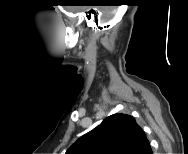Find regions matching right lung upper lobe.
I'll list each match as a JSON object with an SVG mask.
<instances>
[{
	"label": "right lung upper lobe",
	"instance_id": "right-lung-upper-lobe-1",
	"mask_svg": "<svg viewBox=\"0 0 188 154\" xmlns=\"http://www.w3.org/2000/svg\"><path fill=\"white\" fill-rule=\"evenodd\" d=\"M150 143L135 118L116 113L80 137L66 154H148Z\"/></svg>",
	"mask_w": 188,
	"mask_h": 154
}]
</instances>
